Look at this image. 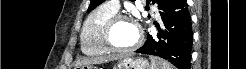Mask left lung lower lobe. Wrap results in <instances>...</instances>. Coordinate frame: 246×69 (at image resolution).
Wrapping results in <instances>:
<instances>
[{
    "label": "left lung lower lobe",
    "mask_w": 246,
    "mask_h": 69,
    "mask_svg": "<svg viewBox=\"0 0 246 69\" xmlns=\"http://www.w3.org/2000/svg\"><path fill=\"white\" fill-rule=\"evenodd\" d=\"M159 13L163 27L157 26V35L148 34L135 52L164 58L178 69H190L193 33L186 0H170Z\"/></svg>",
    "instance_id": "left-lung-lower-lobe-1"
}]
</instances>
